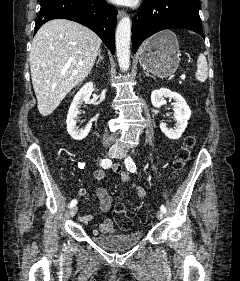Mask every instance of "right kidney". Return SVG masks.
Here are the masks:
<instances>
[{"mask_svg": "<svg viewBox=\"0 0 240 281\" xmlns=\"http://www.w3.org/2000/svg\"><path fill=\"white\" fill-rule=\"evenodd\" d=\"M93 91H95V88L93 86L92 82L86 83L75 95L66 119L67 123V131L68 134L74 139V140H82L84 139L90 132L92 123L89 122L84 128H78L76 126V119L79 115V108L82 102H88L90 99V96L92 95Z\"/></svg>", "mask_w": 240, "mask_h": 281, "instance_id": "1", "label": "right kidney"}]
</instances>
